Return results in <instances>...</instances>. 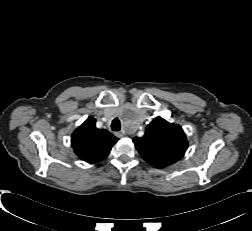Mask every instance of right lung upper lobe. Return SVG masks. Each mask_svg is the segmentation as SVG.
Here are the masks:
<instances>
[{
  "label": "right lung upper lobe",
  "instance_id": "1",
  "mask_svg": "<svg viewBox=\"0 0 252 231\" xmlns=\"http://www.w3.org/2000/svg\"><path fill=\"white\" fill-rule=\"evenodd\" d=\"M93 117L79 126L73 133L71 144L78 157L88 163H97L103 160L110 152L118 138L104 129L95 126Z\"/></svg>",
  "mask_w": 252,
  "mask_h": 231
}]
</instances>
